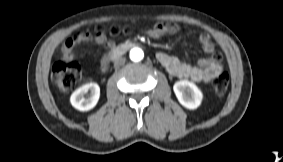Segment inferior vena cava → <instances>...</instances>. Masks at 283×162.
I'll use <instances>...</instances> for the list:
<instances>
[{
    "label": "inferior vena cava",
    "mask_w": 283,
    "mask_h": 162,
    "mask_svg": "<svg viewBox=\"0 0 283 162\" xmlns=\"http://www.w3.org/2000/svg\"><path fill=\"white\" fill-rule=\"evenodd\" d=\"M125 62H126V59L124 57H120L114 61V67L118 68L122 66Z\"/></svg>",
    "instance_id": "1"
}]
</instances>
